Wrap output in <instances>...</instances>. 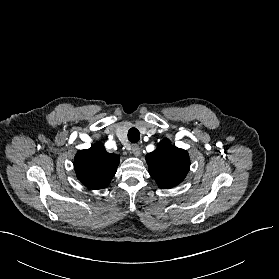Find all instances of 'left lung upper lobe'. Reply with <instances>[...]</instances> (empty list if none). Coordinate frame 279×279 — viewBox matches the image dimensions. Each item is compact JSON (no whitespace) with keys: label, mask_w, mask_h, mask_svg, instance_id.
Returning a JSON list of instances; mask_svg holds the SVG:
<instances>
[{"label":"left lung upper lobe","mask_w":279,"mask_h":279,"mask_svg":"<svg viewBox=\"0 0 279 279\" xmlns=\"http://www.w3.org/2000/svg\"><path fill=\"white\" fill-rule=\"evenodd\" d=\"M146 161L150 175L164 189L181 183L190 167L188 152L171 145L168 139L159 142L157 149L147 154Z\"/></svg>","instance_id":"left-lung-upper-lobe-1"}]
</instances>
